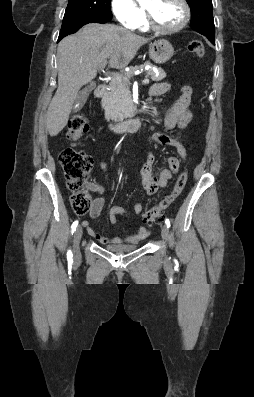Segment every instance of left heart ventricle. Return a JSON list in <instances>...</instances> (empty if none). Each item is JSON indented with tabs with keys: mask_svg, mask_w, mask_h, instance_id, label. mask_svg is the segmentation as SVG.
Returning <instances> with one entry per match:
<instances>
[{
	"mask_svg": "<svg viewBox=\"0 0 254 397\" xmlns=\"http://www.w3.org/2000/svg\"><path fill=\"white\" fill-rule=\"evenodd\" d=\"M146 9L156 24L163 28L175 27L183 17V8L176 0H150Z\"/></svg>",
	"mask_w": 254,
	"mask_h": 397,
	"instance_id": "left-heart-ventricle-1",
	"label": "left heart ventricle"
}]
</instances>
